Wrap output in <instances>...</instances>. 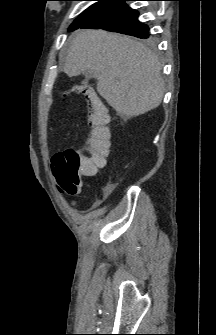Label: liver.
<instances>
[{"label": "liver", "instance_id": "liver-1", "mask_svg": "<svg viewBox=\"0 0 216 335\" xmlns=\"http://www.w3.org/2000/svg\"><path fill=\"white\" fill-rule=\"evenodd\" d=\"M162 66L144 44L101 29L81 30L73 38L64 72L93 73L97 91L120 116L135 117L160 105L164 95Z\"/></svg>", "mask_w": 216, "mask_h": 335}]
</instances>
